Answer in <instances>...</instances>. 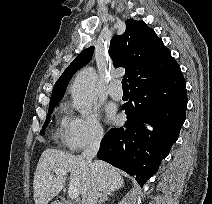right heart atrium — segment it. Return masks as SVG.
Instances as JSON below:
<instances>
[{"label": "right heart atrium", "instance_id": "d8ad5b80", "mask_svg": "<svg viewBox=\"0 0 212 204\" xmlns=\"http://www.w3.org/2000/svg\"><path fill=\"white\" fill-rule=\"evenodd\" d=\"M104 137V129L96 112L69 115L64 125L63 140L73 152L98 144Z\"/></svg>", "mask_w": 212, "mask_h": 204}]
</instances>
